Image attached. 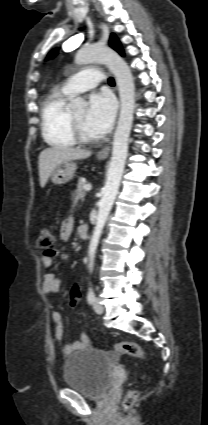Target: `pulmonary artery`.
Masks as SVG:
<instances>
[{"mask_svg":"<svg viewBox=\"0 0 208 425\" xmlns=\"http://www.w3.org/2000/svg\"><path fill=\"white\" fill-rule=\"evenodd\" d=\"M104 80L102 72L97 68H86L70 77L63 86L69 94L81 93L96 87Z\"/></svg>","mask_w":208,"mask_h":425,"instance_id":"obj_1","label":"pulmonary artery"}]
</instances>
